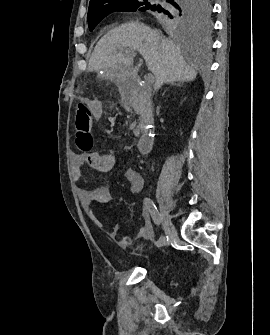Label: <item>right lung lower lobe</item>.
<instances>
[{
  "label": "right lung lower lobe",
  "instance_id": "98d812e1",
  "mask_svg": "<svg viewBox=\"0 0 270 335\" xmlns=\"http://www.w3.org/2000/svg\"><path fill=\"white\" fill-rule=\"evenodd\" d=\"M165 1H168V0H165ZM163 4H166V3H163ZM162 7H163V5H162Z\"/></svg>",
  "mask_w": 270,
  "mask_h": 335
}]
</instances>
